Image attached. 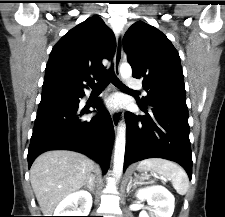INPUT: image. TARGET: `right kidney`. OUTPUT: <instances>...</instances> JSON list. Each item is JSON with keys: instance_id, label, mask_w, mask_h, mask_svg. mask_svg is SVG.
I'll return each mask as SVG.
<instances>
[{"instance_id": "right-kidney-1", "label": "right kidney", "mask_w": 225, "mask_h": 217, "mask_svg": "<svg viewBox=\"0 0 225 217\" xmlns=\"http://www.w3.org/2000/svg\"><path fill=\"white\" fill-rule=\"evenodd\" d=\"M91 207V194L81 190L64 198L57 206L54 216H88Z\"/></svg>"}]
</instances>
